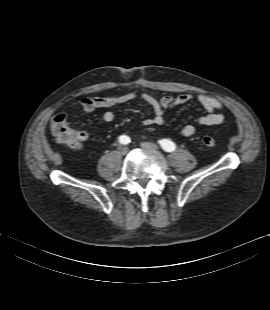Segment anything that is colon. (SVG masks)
I'll return each mask as SVG.
<instances>
[{
  "label": "colon",
  "mask_w": 270,
  "mask_h": 310,
  "mask_svg": "<svg viewBox=\"0 0 270 310\" xmlns=\"http://www.w3.org/2000/svg\"><path fill=\"white\" fill-rule=\"evenodd\" d=\"M50 130L58 142L73 148L80 146L79 134L70 126L66 114L60 113L54 116L50 123ZM202 144L206 147H214L217 140L211 135H206L202 138Z\"/></svg>",
  "instance_id": "5ec220e1"
}]
</instances>
